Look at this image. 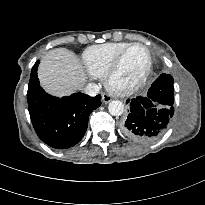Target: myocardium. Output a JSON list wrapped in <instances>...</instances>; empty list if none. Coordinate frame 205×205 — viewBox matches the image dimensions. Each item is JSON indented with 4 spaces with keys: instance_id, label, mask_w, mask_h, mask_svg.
Masks as SVG:
<instances>
[{
    "instance_id": "1",
    "label": "myocardium",
    "mask_w": 205,
    "mask_h": 205,
    "mask_svg": "<svg viewBox=\"0 0 205 205\" xmlns=\"http://www.w3.org/2000/svg\"><path fill=\"white\" fill-rule=\"evenodd\" d=\"M143 47L148 54V64L144 72L140 75V77L133 83L128 85H117L114 83V78L117 74V72L120 69L121 63L125 57V55L128 53L129 50H131L133 47ZM153 67V56L152 52L149 49V47L143 43H131L126 48H124L114 59L108 70L106 71L104 75V85L108 91L111 93L117 94V95H129L136 91H138L147 81L149 78L151 71Z\"/></svg>"
}]
</instances>
